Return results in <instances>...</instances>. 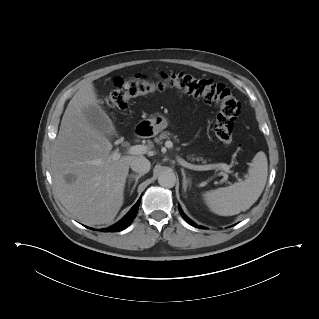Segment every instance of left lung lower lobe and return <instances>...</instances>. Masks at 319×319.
I'll return each mask as SVG.
<instances>
[{"label": "left lung lower lobe", "instance_id": "0a47b994", "mask_svg": "<svg viewBox=\"0 0 319 319\" xmlns=\"http://www.w3.org/2000/svg\"><path fill=\"white\" fill-rule=\"evenodd\" d=\"M179 211H180V214L182 215V217L192 226L194 227H197V225L192 221L190 220L184 213L183 211L181 210V208L179 207ZM199 228H202L201 226H199Z\"/></svg>", "mask_w": 319, "mask_h": 319}]
</instances>
